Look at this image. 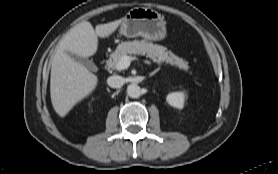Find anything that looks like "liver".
<instances>
[{
  "label": "liver",
  "instance_id": "obj_1",
  "mask_svg": "<svg viewBox=\"0 0 278 174\" xmlns=\"http://www.w3.org/2000/svg\"><path fill=\"white\" fill-rule=\"evenodd\" d=\"M122 22L123 18L97 25L94 29L90 22L83 21L71 28L58 43L51 66L50 96L59 116L65 117L98 83L97 76L67 52L83 58L93 56L98 49V38L109 37Z\"/></svg>",
  "mask_w": 278,
  "mask_h": 174
}]
</instances>
